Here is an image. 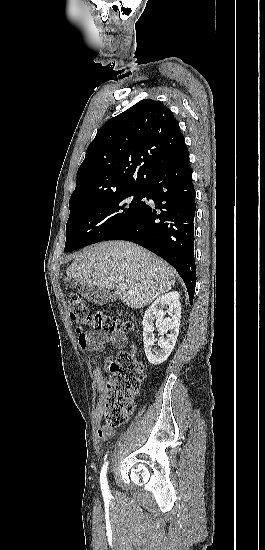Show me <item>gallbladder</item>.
Here are the masks:
<instances>
[{"label": "gallbladder", "instance_id": "obj_1", "mask_svg": "<svg viewBox=\"0 0 265 550\" xmlns=\"http://www.w3.org/2000/svg\"><path fill=\"white\" fill-rule=\"evenodd\" d=\"M67 285L72 289L76 287V284L72 280H67ZM78 292L86 300L100 306L107 302L116 301L117 298L115 294L110 293L106 289L90 285H81Z\"/></svg>", "mask_w": 265, "mask_h": 550}]
</instances>
